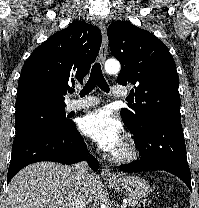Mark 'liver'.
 I'll list each match as a JSON object with an SVG mask.
<instances>
[{
  "instance_id": "1",
  "label": "liver",
  "mask_w": 199,
  "mask_h": 208,
  "mask_svg": "<svg viewBox=\"0 0 199 208\" xmlns=\"http://www.w3.org/2000/svg\"><path fill=\"white\" fill-rule=\"evenodd\" d=\"M98 182L88 174L80 182L73 167L54 162H37L19 171L8 185L6 208H72L79 198L93 201Z\"/></svg>"
}]
</instances>
